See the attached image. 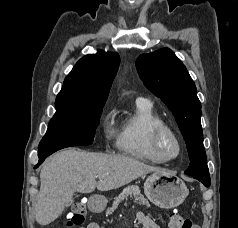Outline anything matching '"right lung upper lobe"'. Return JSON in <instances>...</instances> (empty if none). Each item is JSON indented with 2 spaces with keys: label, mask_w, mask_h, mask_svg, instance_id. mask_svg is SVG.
<instances>
[{
  "label": "right lung upper lobe",
  "mask_w": 238,
  "mask_h": 228,
  "mask_svg": "<svg viewBox=\"0 0 238 228\" xmlns=\"http://www.w3.org/2000/svg\"><path fill=\"white\" fill-rule=\"evenodd\" d=\"M119 64V55L111 52L99 51L80 59L64 80L56 112L92 110L105 104Z\"/></svg>",
  "instance_id": "1"
}]
</instances>
